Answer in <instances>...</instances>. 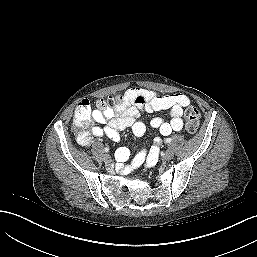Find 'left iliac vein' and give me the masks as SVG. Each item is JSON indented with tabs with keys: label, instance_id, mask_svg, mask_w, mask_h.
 I'll list each match as a JSON object with an SVG mask.
<instances>
[{
	"label": "left iliac vein",
	"instance_id": "4c4485c4",
	"mask_svg": "<svg viewBox=\"0 0 257 257\" xmlns=\"http://www.w3.org/2000/svg\"><path fill=\"white\" fill-rule=\"evenodd\" d=\"M174 156V151L171 148H168L164 154H163V159L164 160H171Z\"/></svg>",
	"mask_w": 257,
	"mask_h": 257
}]
</instances>
